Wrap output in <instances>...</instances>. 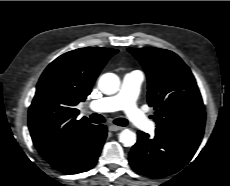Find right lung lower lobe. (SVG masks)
<instances>
[{
  "label": "right lung lower lobe",
  "mask_w": 230,
  "mask_h": 186,
  "mask_svg": "<svg viewBox=\"0 0 230 186\" xmlns=\"http://www.w3.org/2000/svg\"><path fill=\"white\" fill-rule=\"evenodd\" d=\"M106 135V126L92 125L64 146L53 158L45 160L65 174L87 171L96 164Z\"/></svg>",
  "instance_id": "98d812e1"
}]
</instances>
